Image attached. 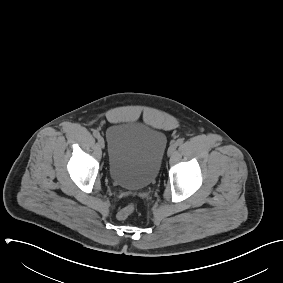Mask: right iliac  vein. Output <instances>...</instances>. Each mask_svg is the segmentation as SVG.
Listing matches in <instances>:
<instances>
[{"label":"right iliac vein","instance_id":"1","mask_svg":"<svg viewBox=\"0 0 283 283\" xmlns=\"http://www.w3.org/2000/svg\"><path fill=\"white\" fill-rule=\"evenodd\" d=\"M98 144H99V146L103 149L104 147H105V142H104V139H103V137H99L98 138Z\"/></svg>","mask_w":283,"mask_h":283}]
</instances>
